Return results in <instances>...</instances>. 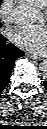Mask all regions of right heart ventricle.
<instances>
[{
    "label": "right heart ventricle",
    "instance_id": "e07e8e85",
    "mask_svg": "<svg viewBox=\"0 0 47 129\" xmlns=\"http://www.w3.org/2000/svg\"><path fill=\"white\" fill-rule=\"evenodd\" d=\"M37 2H40L41 4L44 5V3H46L47 0H36Z\"/></svg>",
    "mask_w": 47,
    "mask_h": 129
}]
</instances>
